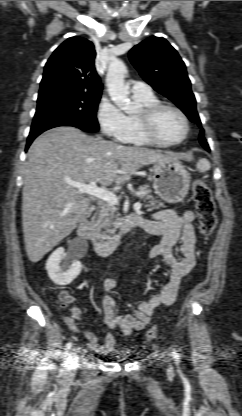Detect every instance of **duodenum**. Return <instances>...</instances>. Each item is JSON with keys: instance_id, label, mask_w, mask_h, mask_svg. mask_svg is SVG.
Returning a JSON list of instances; mask_svg holds the SVG:
<instances>
[{"instance_id": "410a0bca", "label": "duodenum", "mask_w": 242, "mask_h": 416, "mask_svg": "<svg viewBox=\"0 0 242 416\" xmlns=\"http://www.w3.org/2000/svg\"><path fill=\"white\" fill-rule=\"evenodd\" d=\"M90 210H93V206H91ZM136 227H142V219L137 216H128L122 220L109 238L103 240L93 233L87 219L83 218L78 223L77 234L82 239L90 242L99 256H107L116 249L120 239Z\"/></svg>"}]
</instances>
